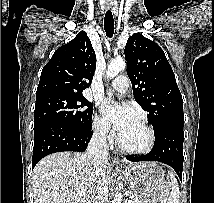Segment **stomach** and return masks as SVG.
<instances>
[{
  "label": "stomach",
  "mask_w": 214,
  "mask_h": 203,
  "mask_svg": "<svg viewBox=\"0 0 214 203\" xmlns=\"http://www.w3.org/2000/svg\"><path fill=\"white\" fill-rule=\"evenodd\" d=\"M121 173L130 183L138 203H166L169 199L171 182L156 163H136Z\"/></svg>",
  "instance_id": "stomach-1"
}]
</instances>
